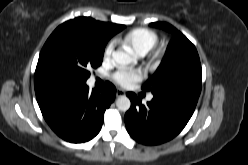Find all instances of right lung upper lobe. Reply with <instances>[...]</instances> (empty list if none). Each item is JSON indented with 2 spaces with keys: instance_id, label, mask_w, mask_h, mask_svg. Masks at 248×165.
<instances>
[{
  "instance_id": "cb5924a9",
  "label": "right lung upper lobe",
  "mask_w": 248,
  "mask_h": 165,
  "mask_svg": "<svg viewBox=\"0 0 248 165\" xmlns=\"http://www.w3.org/2000/svg\"><path fill=\"white\" fill-rule=\"evenodd\" d=\"M63 24L75 27L83 33L91 35L100 41L107 40V42L113 35L120 32L125 27L124 25L96 21L90 17H78ZM34 84L36 96H39L48 90L61 87L59 84L42 80L37 77H35Z\"/></svg>"
}]
</instances>
